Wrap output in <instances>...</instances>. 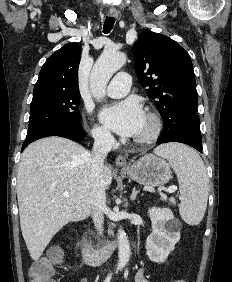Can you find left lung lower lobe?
<instances>
[{
  "label": "left lung lower lobe",
  "mask_w": 232,
  "mask_h": 282,
  "mask_svg": "<svg viewBox=\"0 0 232 282\" xmlns=\"http://www.w3.org/2000/svg\"><path fill=\"white\" fill-rule=\"evenodd\" d=\"M164 129L157 144L180 142L190 145L202 153L200 120L197 114L180 110L172 120L163 121Z\"/></svg>",
  "instance_id": "0a47b994"
}]
</instances>
